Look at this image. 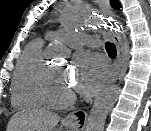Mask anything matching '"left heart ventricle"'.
Returning a JSON list of instances; mask_svg holds the SVG:
<instances>
[{
  "label": "left heart ventricle",
  "instance_id": "b2bd125f",
  "mask_svg": "<svg viewBox=\"0 0 151 131\" xmlns=\"http://www.w3.org/2000/svg\"><path fill=\"white\" fill-rule=\"evenodd\" d=\"M54 74L49 83V90L51 95L54 97H62L67 95L68 93H72V90L65 76V71L63 67L54 66Z\"/></svg>",
  "mask_w": 151,
  "mask_h": 131
}]
</instances>
